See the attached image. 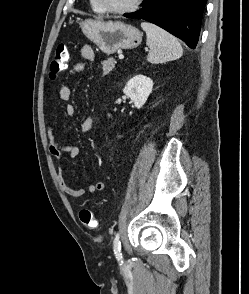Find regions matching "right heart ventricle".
<instances>
[{"label":"right heart ventricle","instance_id":"e07e8e85","mask_svg":"<svg viewBox=\"0 0 249 294\" xmlns=\"http://www.w3.org/2000/svg\"><path fill=\"white\" fill-rule=\"evenodd\" d=\"M90 6L92 8V10L96 13H102V11L100 10V8L96 5L94 0H90Z\"/></svg>","mask_w":249,"mask_h":294}]
</instances>
